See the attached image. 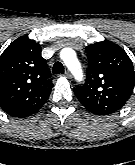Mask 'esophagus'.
<instances>
[{"instance_id":"obj_1","label":"esophagus","mask_w":135,"mask_h":165,"mask_svg":"<svg viewBox=\"0 0 135 165\" xmlns=\"http://www.w3.org/2000/svg\"><path fill=\"white\" fill-rule=\"evenodd\" d=\"M63 76L65 77V78H71V73L69 72V71H66L64 74H63Z\"/></svg>"}]
</instances>
